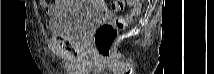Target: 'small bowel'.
<instances>
[{
    "mask_svg": "<svg viewBox=\"0 0 214 74\" xmlns=\"http://www.w3.org/2000/svg\"><path fill=\"white\" fill-rule=\"evenodd\" d=\"M72 5L71 1H55L49 3L47 1H41V6L44 9L45 13L48 15H53L56 11L63 10Z\"/></svg>",
    "mask_w": 214,
    "mask_h": 74,
    "instance_id": "obj_1",
    "label": "small bowel"
}]
</instances>
